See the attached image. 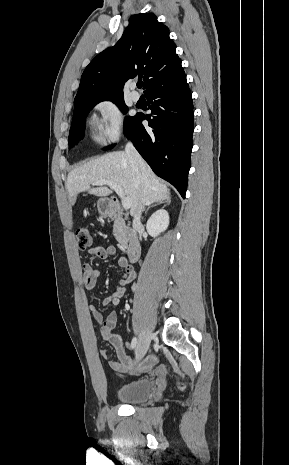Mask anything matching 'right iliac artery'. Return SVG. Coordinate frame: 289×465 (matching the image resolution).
I'll return each instance as SVG.
<instances>
[{
  "label": "right iliac artery",
  "mask_w": 289,
  "mask_h": 465,
  "mask_svg": "<svg viewBox=\"0 0 289 465\" xmlns=\"http://www.w3.org/2000/svg\"><path fill=\"white\" fill-rule=\"evenodd\" d=\"M136 345H137V338L134 337V338L132 339V342H131V348H132V349L135 348Z\"/></svg>",
  "instance_id": "obj_1"
}]
</instances>
